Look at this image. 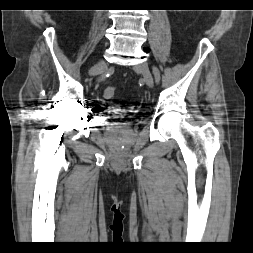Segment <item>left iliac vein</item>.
<instances>
[{"instance_id": "4c4485c4", "label": "left iliac vein", "mask_w": 253, "mask_h": 253, "mask_svg": "<svg viewBox=\"0 0 253 253\" xmlns=\"http://www.w3.org/2000/svg\"><path fill=\"white\" fill-rule=\"evenodd\" d=\"M135 70L140 72L143 76V79L148 87L152 88L154 85L153 76L149 70V66L146 62H143L135 66Z\"/></svg>"}]
</instances>
